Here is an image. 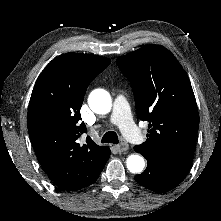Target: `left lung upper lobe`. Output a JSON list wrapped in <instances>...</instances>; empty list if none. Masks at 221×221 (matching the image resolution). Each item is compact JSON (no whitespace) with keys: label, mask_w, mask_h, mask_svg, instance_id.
<instances>
[{"label":"left lung upper lobe","mask_w":221,"mask_h":221,"mask_svg":"<svg viewBox=\"0 0 221 221\" xmlns=\"http://www.w3.org/2000/svg\"><path fill=\"white\" fill-rule=\"evenodd\" d=\"M130 79L138 118L147 121V140L134 150L148 160L190 166L199 113L190 80L165 47L146 45L116 60Z\"/></svg>","instance_id":"1"}]
</instances>
